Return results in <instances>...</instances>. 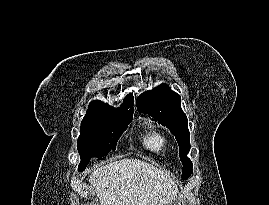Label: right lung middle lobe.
Listing matches in <instances>:
<instances>
[{"label":"right lung middle lobe","instance_id":"dd1d6c3e","mask_svg":"<svg viewBox=\"0 0 269 205\" xmlns=\"http://www.w3.org/2000/svg\"><path fill=\"white\" fill-rule=\"evenodd\" d=\"M133 116L120 118H84L81 123V134L77 140V149L81 157L79 171H83L91 157H105L116 149L122 135Z\"/></svg>","mask_w":269,"mask_h":205}]
</instances>
